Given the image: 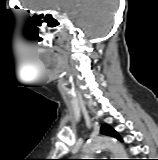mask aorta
<instances>
[{
    "mask_svg": "<svg viewBox=\"0 0 158 160\" xmlns=\"http://www.w3.org/2000/svg\"><path fill=\"white\" fill-rule=\"evenodd\" d=\"M104 148H108L112 152L114 159H127V153L123 145L109 137H99L92 140L84 146L83 152L88 154Z\"/></svg>",
    "mask_w": 158,
    "mask_h": 160,
    "instance_id": "obj_1",
    "label": "aorta"
}]
</instances>
